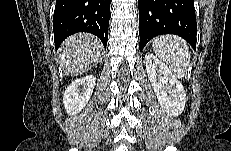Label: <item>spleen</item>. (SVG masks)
Here are the masks:
<instances>
[{
    "instance_id": "spleen-1",
    "label": "spleen",
    "mask_w": 231,
    "mask_h": 151,
    "mask_svg": "<svg viewBox=\"0 0 231 151\" xmlns=\"http://www.w3.org/2000/svg\"><path fill=\"white\" fill-rule=\"evenodd\" d=\"M155 54L169 64L177 78H183L190 63V52L187 42L175 35L156 37L152 42Z\"/></svg>"
}]
</instances>
